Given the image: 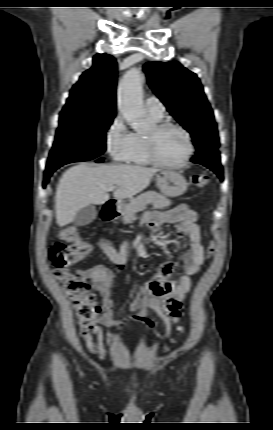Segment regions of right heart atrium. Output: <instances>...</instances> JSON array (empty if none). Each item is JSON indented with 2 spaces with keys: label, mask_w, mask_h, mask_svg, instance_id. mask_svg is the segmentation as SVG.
<instances>
[{
  "label": "right heart atrium",
  "mask_w": 273,
  "mask_h": 430,
  "mask_svg": "<svg viewBox=\"0 0 273 430\" xmlns=\"http://www.w3.org/2000/svg\"><path fill=\"white\" fill-rule=\"evenodd\" d=\"M105 144L109 155L115 161L128 162L136 145L135 134L128 129L120 115L108 126Z\"/></svg>",
  "instance_id": "obj_1"
}]
</instances>
